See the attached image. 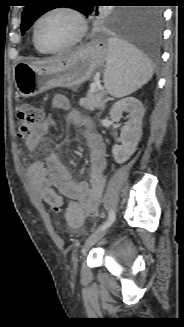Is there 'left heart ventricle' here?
<instances>
[{"instance_id": "obj_1", "label": "left heart ventricle", "mask_w": 184, "mask_h": 327, "mask_svg": "<svg viewBox=\"0 0 184 327\" xmlns=\"http://www.w3.org/2000/svg\"><path fill=\"white\" fill-rule=\"evenodd\" d=\"M77 32V23L73 17L63 12H56L40 22L37 34L43 46L56 48L70 42Z\"/></svg>"}]
</instances>
